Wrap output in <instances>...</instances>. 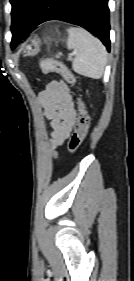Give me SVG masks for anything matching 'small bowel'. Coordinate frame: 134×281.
Listing matches in <instances>:
<instances>
[{
  "mask_svg": "<svg viewBox=\"0 0 134 281\" xmlns=\"http://www.w3.org/2000/svg\"><path fill=\"white\" fill-rule=\"evenodd\" d=\"M44 117L51 128L53 155L70 136L76 123V108L68 87L61 81L50 82L40 94Z\"/></svg>",
  "mask_w": 134,
  "mask_h": 281,
  "instance_id": "1",
  "label": "small bowel"
}]
</instances>
